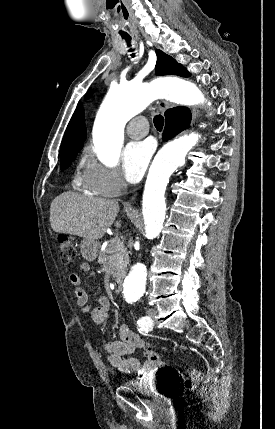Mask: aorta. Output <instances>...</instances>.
Instances as JSON below:
<instances>
[{"mask_svg": "<svg viewBox=\"0 0 275 429\" xmlns=\"http://www.w3.org/2000/svg\"><path fill=\"white\" fill-rule=\"evenodd\" d=\"M164 97L184 105H202V92L191 82L164 79L150 84L130 82L114 85L106 95L95 120L93 142L97 156L108 166H114L123 145L124 126L155 99ZM199 135L191 132L167 143L158 153L151 167L143 193L142 212L145 237H157L165 221V190L173 172L185 162L187 152L197 143ZM147 269L134 265L123 284L126 300H136L145 292Z\"/></svg>", "mask_w": 275, "mask_h": 429, "instance_id": "obj_1", "label": "aorta"}]
</instances>
